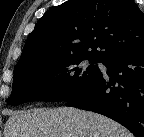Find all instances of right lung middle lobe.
<instances>
[{
  "label": "right lung middle lobe",
  "instance_id": "1",
  "mask_svg": "<svg viewBox=\"0 0 144 137\" xmlns=\"http://www.w3.org/2000/svg\"><path fill=\"white\" fill-rule=\"evenodd\" d=\"M86 58L68 57L42 60L16 66L11 96L7 102L19 105L28 101H67L90 86L102 71L87 66ZM89 63L97 61L89 60Z\"/></svg>",
  "mask_w": 144,
  "mask_h": 137
}]
</instances>
